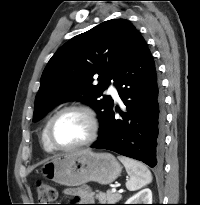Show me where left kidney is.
I'll use <instances>...</instances> for the list:
<instances>
[{
	"label": "left kidney",
	"instance_id": "left-kidney-1",
	"mask_svg": "<svg viewBox=\"0 0 200 205\" xmlns=\"http://www.w3.org/2000/svg\"><path fill=\"white\" fill-rule=\"evenodd\" d=\"M125 204H152V192L149 188H145L130 197Z\"/></svg>",
	"mask_w": 200,
	"mask_h": 205
}]
</instances>
